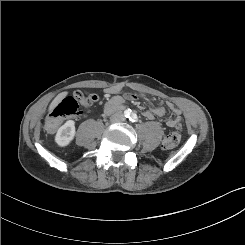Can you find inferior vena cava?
<instances>
[{
    "instance_id": "obj_1",
    "label": "inferior vena cava",
    "mask_w": 245,
    "mask_h": 245,
    "mask_svg": "<svg viewBox=\"0 0 245 245\" xmlns=\"http://www.w3.org/2000/svg\"><path fill=\"white\" fill-rule=\"evenodd\" d=\"M117 116H119V117H121V119H123V115L122 114L116 113V114L113 115V117H117Z\"/></svg>"
}]
</instances>
